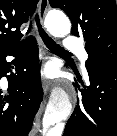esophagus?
I'll return each mask as SVG.
<instances>
[{"label":"esophagus","mask_w":117,"mask_h":136,"mask_svg":"<svg viewBox=\"0 0 117 136\" xmlns=\"http://www.w3.org/2000/svg\"><path fill=\"white\" fill-rule=\"evenodd\" d=\"M47 8H48V0H40L39 2V18L40 21L43 22L46 12H47ZM40 44L42 47H44L41 39H39ZM52 82L46 78H42V87L45 93H47V91L49 90L50 86H51Z\"/></svg>","instance_id":"34e87169"}]
</instances>
